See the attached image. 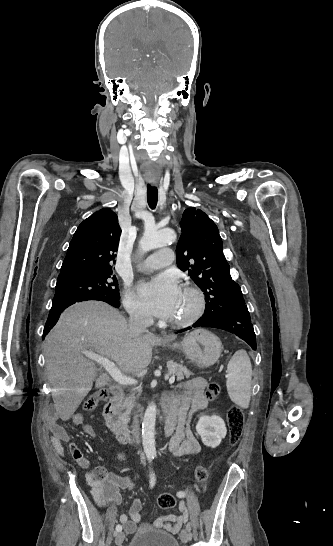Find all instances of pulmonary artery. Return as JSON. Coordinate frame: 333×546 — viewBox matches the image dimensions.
I'll list each match as a JSON object with an SVG mask.
<instances>
[{
    "label": "pulmonary artery",
    "instance_id": "obj_1",
    "mask_svg": "<svg viewBox=\"0 0 333 546\" xmlns=\"http://www.w3.org/2000/svg\"><path fill=\"white\" fill-rule=\"evenodd\" d=\"M172 260V250L167 248L161 249L139 263L138 268L143 271H153L169 265Z\"/></svg>",
    "mask_w": 333,
    "mask_h": 546
}]
</instances>
